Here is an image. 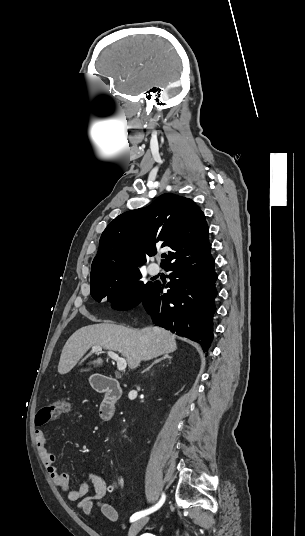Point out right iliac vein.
I'll list each match as a JSON object with an SVG mask.
<instances>
[{"instance_id": "obj_1", "label": "right iliac vein", "mask_w": 305, "mask_h": 536, "mask_svg": "<svg viewBox=\"0 0 305 536\" xmlns=\"http://www.w3.org/2000/svg\"><path fill=\"white\" fill-rule=\"evenodd\" d=\"M148 522V518H141L132 523L128 536H136L141 528Z\"/></svg>"}]
</instances>
